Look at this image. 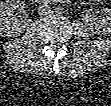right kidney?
I'll use <instances>...</instances> for the list:
<instances>
[{
    "instance_id": "ca27d5eb",
    "label": "right kidney",
    "mask_w": 111,
    "mask_h": 106,
    "mask_svg": "<svg viewBox=\"0 0 111 106\" xmlns=\"http://www.w3.org/2000/svg\"><path fill=\"white\" fill-rule=\"evenodd\" d=\"M25 2L20 0H5L0 2V31L2 36H14L20 33L27 25L28 19H14L16 9H25Z\"/></svg>"
}]
</instances>
